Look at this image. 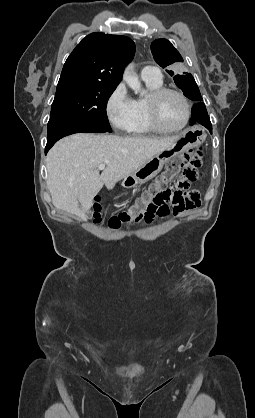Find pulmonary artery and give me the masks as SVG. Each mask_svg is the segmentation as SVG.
I'll return each mask as SVG.
<instances>
[{
	"instance_id": "obj_1",
	"label": "pulmonary artery",
	"mask_w": 255,
	"mask_h": 418,
	"mask_svg": "<svg viewBox=\"0 0 255 418\" xmlns=\"http://www.w3.org/2000/svg\"><path fill=\"white\" fill-rule=\"evenodd\" d=\"M141 77L144 81H160L162 80V75L160 70L154 66H145L141 70Z\"/></svg>"
}]
</instances>
